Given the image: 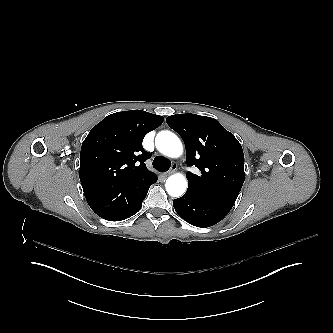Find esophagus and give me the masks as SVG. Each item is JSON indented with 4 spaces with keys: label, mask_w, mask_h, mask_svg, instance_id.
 Here are the masks:
<instances>
[{
    "label": "esophagus",
    "mask_w": 333,
    "mask_h": 333,
    "mask_svg": "<svg viewBox=\"0 0 333 333\" xmlns=\"http://www.w3.org/2000/svg\"><path fill=\"white\" fill-rule=\"evenodd\" d=\"M176 169H177V164H176V163H173L171 169H170L168 172H166V173L163 174L164 177L169 176V175L172 174Z\"/></svg>",
    "instance_id": "esophagus-1"
}]
</instances>
